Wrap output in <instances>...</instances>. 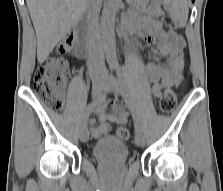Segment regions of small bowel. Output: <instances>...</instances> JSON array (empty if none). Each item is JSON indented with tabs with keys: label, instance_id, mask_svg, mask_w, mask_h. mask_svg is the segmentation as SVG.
<instances>
[{
	"label": "small bowel",
	"instance_id": "c3829d8e",
	"mask_svg": "<svg viewBox=\"0 0 223 191\" xmlns=\"http://www.w3.org/2000/svg\"><path fill=\"white\" fill-rule=\"evenodd\" d=\"M126 28L130 33H137L148 44L156 45L158 51L165 57L164 63L150 62L147 65V76L153 84V94L158 97L164 88L179 86L183 79L186 46L184 38L174 31L164 30L160 22L154 18L143 21L132 20ZM108 108L111 109V113H107ZM93 110L99 122L97 123L94 118L89 117V113H86L84 124L90 127V133L94 138L105 136L110 131L112 123L125 124L129 116L122 104L107 103L106 100L101 101Z\"/></svg>",
	"mask_w": 223,
	"mask_h": 191
}]
</instances>
